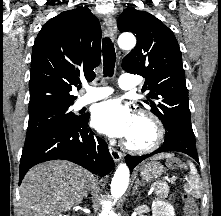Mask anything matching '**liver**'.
Wrapping results in <instances>:
<instances>
[{
	"instance_id": "1",
	"label": "liver",
	"mask_w": 221,
	"mask_h": 216,
	"mask_svg": "<svg viewBox=\"0 0 221 216\" xmlns=\"http://www.w3.org/2000/svg\"><path fill=\"white\" fill-rule=\"evenodd\" d=\"M88 173L69 161L38 164L20 186L22 216H57L83 200Z\"/></svg>"
}]
</instances>
